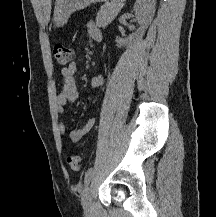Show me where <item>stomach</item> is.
Masks as SVG:
<instances>
[{
  "label": "stomach",
  "mask_w": 216,
  "mask_h": 217,
  "mask_svg": "<svg viewBox=\"0 0 216 217\" xmlns=\"http://www.w3.org/2000/svg\"><path fill=\"white\" fill-rule=\"evenodd\" d=\"M97 2H108V0H56L53 15L55 26L62 27L67 23L72 13Z\"/></svg>",
  "instance_id": "stomach-1"
}]
</instances>
